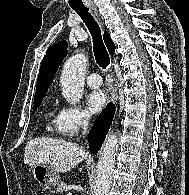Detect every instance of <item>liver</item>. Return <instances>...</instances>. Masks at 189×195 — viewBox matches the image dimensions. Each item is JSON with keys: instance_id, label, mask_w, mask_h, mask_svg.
<instances>
[{"instance_id": "1", "label": "liver", "mask_w": 189, "mask_h": 195, "mask_svg": "<svg viewBox=\"0 0 189 195\" xmlns=\"http://www.w3.org/2000/svg\"><path fill=\"white\" fill-rule=\"evenodd\" d=\"M82 146L76 143L39 137L30 140L25 146L24 164L34 167L39 164H49L58 172H67L86 158Z\"/></svg>"}]
</instances>
